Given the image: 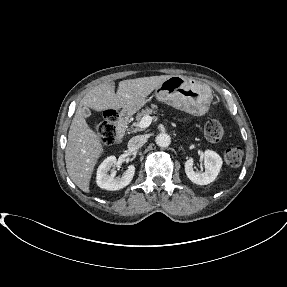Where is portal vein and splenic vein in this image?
<instances>
[{
	"mask_svg": "<svg viewBox=\"0 0 287 287\" xmlns=\"http://www.w3.org/2000/svg\"><path fill=\"white\" fill-rule=\"evenodd\" d=\"M156 117H151L150 115H145L139 122V127L144 129L150 126L152 120Z\"/></svg>",
	"mask_w": 287,
	"mask_h": 287,
	"instance_id": "18ae733b",
	"label": "portal vein and splenic vein"
}]
</instances>
